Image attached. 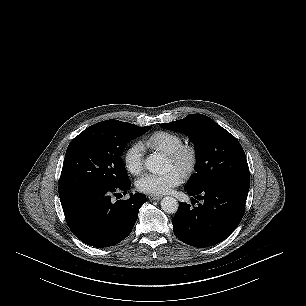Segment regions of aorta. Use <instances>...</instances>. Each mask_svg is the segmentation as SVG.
<instances>
[{
    "label": "aorta",
    "instance_id": "762f6f07",
    "mask_svg": "<svg viewBox=\"0 0 306 306\" xmlns=\"http://www.w3.org/2000/svg\"><path fill=\"white\" fill-rule=\"evenodd\" d=\"M145 166L152 173H158L164 169L165 159L159 154H151L147 157ZM178 201L174 197L166 196L161 201V209L168 214L176 213Z\"/></svg>",
    "mask_w": 306,
    "mask_h": 306
}]
</instances>
